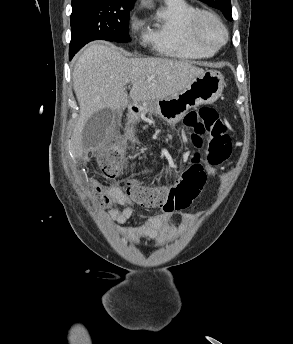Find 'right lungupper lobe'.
<instances>
[{
    "mask_svg": "<svg viewBox=\"0 0 293 344\" xmlns=\"http://www.w3.org/2000/svg\"><path fill=\"white\" fill-rule=\"evenodd\" d=\"M83 0H72V4H76L78 2H81ZM98 1H104V2H111V3H122V4H134L135 0H98Z\"/></svg>",
    "mask_w": 293,
    "mask_h": 344,
    "instance_id": "obj_1",
    "label": "right lung upper lobe"
}]
</instances>
